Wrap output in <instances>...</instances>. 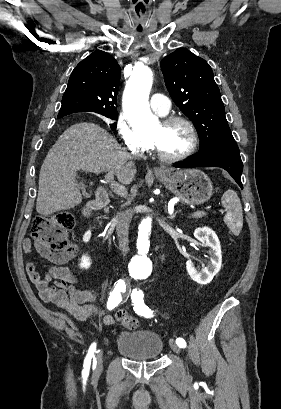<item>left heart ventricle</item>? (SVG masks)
<instances>
[{
	"label": "left heart ventricle",
	"instance_id": "obj_1",
	"mask_svg": "<svg viewBox=\"0 0 281 409\" xmlns=\"http://www.w3.org/2000/svg\"><path fill=\"white\" fill-rule=\"evenodd\" d=\"M146 137L151 138L157 148L166 155H178L184 152L190 143V134L181 123L162 126L160 122L153 127Z\"/></svg>",
	"mask_w": 281,
	"mask_h": 409
}]
</instances>
